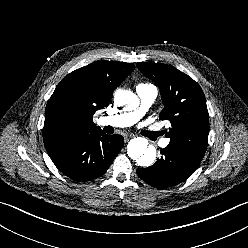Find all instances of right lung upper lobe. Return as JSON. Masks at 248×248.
<instances>
[{
    "mask_svg": "<svg viewBox=\"0 0 248 248\" xmlns=\"http://www.w3.org/2000/svg\"><path fill=\"white\" fill-rule=\"evenodd\" d=\"M134 68L131 63L97 61L65 76L46 105L45 148L100 130L93 123L94 113L108 105Z\"/></svg>",
    "mask_w": 248,
    "mask_h": 248,
    "instance_id": "obj_1",
    "label": "right lung upper lobe"
}]
</instances>
